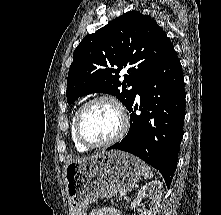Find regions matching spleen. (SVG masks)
<instances>
[{
	"label": "spleen",
	"instance_id": "1",
	"mask_svg": "<svg viewBox=\"0 0 221 215\" xmlns=\"http://www.w3.org/2000/svg\"><path fill=\"white\" fill-rule=\"evenodd\" d=\"M142 175L144 177V179H150L153 176V172L150 168V166H148L145 163H142Z\"/></svg>",
	"mask_w": 221,
	"mask_h": 215
}]
</instances>
